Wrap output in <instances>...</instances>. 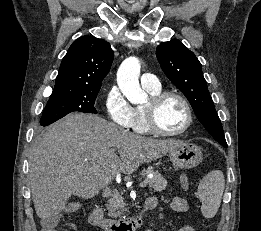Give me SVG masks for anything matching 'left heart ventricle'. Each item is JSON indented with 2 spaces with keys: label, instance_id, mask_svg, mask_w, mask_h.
Returning a JSON list of instances; mask_svg holds the SVG:
<instances>
[{
  "label": "left heart ventricle",
  "instance_id": "obj_1",
  "mask_svg": "<svg viewBox=\"0 0 261 231\" xmlns=\"http://www.w3.org/2000/svg\"><path fill=\"white\" fill-rule=\"evenodd\" d=\"M157 122L165 131L180 130L186 123V111L181 101L177 98L165 100L158 110Z\"/></svg>",
  "mask_w": 261,
  "mask_h": 231
}]
</instances>
